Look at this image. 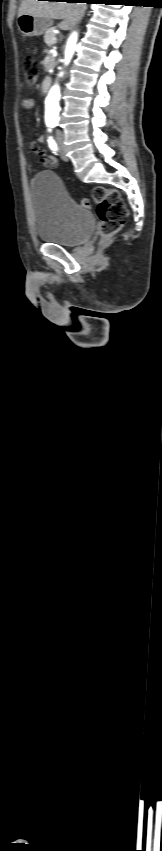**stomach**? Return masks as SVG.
Here are the masks:
<instances>
[{
    "label": "stomach",
    "instance_id": "obj_1",
    "mask_svg": "<svg viewBox=\"0 0 162 851\" xmlns=\"http://www.w3.org/2000/svg\"><path fill=\"white\" fill-rule=\"evenodd\" d=\"M51 25L52 20L44 17H35L30 14H22L17 17L18 29L26 37L40 36L47 32Z\"/></svg>",
    "mask_w": 162,
    "mask_h": 851
}]
</instances>
